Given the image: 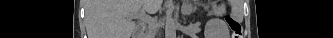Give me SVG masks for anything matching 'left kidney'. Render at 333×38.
<instances>
[{
	"mask_svg": "<svg viewBox=\"0 0 333 38\" xmlns=\"http://www.w3.org/2000/svg\"><path fill=\"white\" fill-rule=\"evenodd\" d=\"M227 32L226 24L219 18L210 19L205 25L204 34L213 38H226Z\"/></svg>",
	"mask_w": 333,
	"mask_h": 38,
	"instance_id": "left-kidney-1",
	"label": "left kidney"
}]
</instances>
